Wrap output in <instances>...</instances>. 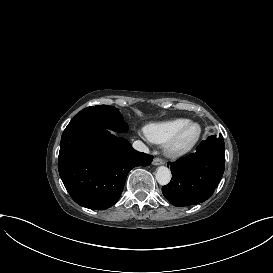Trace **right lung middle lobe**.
Returning a JSON list of instances; mask_svg holds the SVG:
<instances>
[{
	"label": "right lung middle lobe",
	"mask_w": 273,
	"mask_h": 273,
	"mask_svg": "<svg viewBox=\"0 0 273 273\" xmlns=\"http://www.w3.org/2000/svg\"><path fill=\"white\" fill-rule=\"evenodd\" d=\"M82 123L98 125L119 133L128 131L127 123L124 122L119 110L114 106L87 107L77 113L68 125Z\"/></svg>",
	"instance_id": "dd1d6c3e"
}]
</instances>
